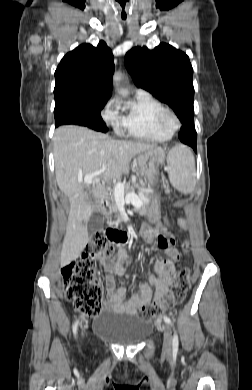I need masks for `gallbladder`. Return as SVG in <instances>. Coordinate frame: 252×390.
Here are the masks:
<instances>
[{"mask_svg": "<svg viewBox=\"0 0 252 390\" xmlns=\"http://www.w3.org/2000/svg\"><path fill=\"white\" fill-rule=\"evenodd\" d=\"M103 225H104V220L100 215L98 214L92 215L87 224L89 235L92 236L93 234H95V232L102 230Z\"/></svg>", "mask_w": 252, "mask_h": 390, "instance_id": "bac80fb5", "label": "gallbladder"}]
</instances>
